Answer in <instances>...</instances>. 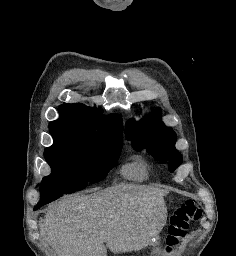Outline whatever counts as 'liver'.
Returning <instances> with one entry per match:
<instances>
[{"label": "liver", "instance_id": "liver-1", "mask_svg": "<svg viewBox=\"0 0 236 256\" xmlns=\"http://www.w3.org/2000/svg\"><path fill=\"white\" fill-rule=\"evenodd\" d=\"M162 190L118 184L50 206L40 228L51 256H107L140 250L147 240L149 212L164 208ZM149 204V206H148Z\"/></svg>", "mask_w": 236, "mask_h": 256}]
</instances>
